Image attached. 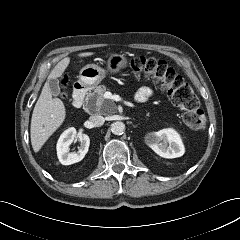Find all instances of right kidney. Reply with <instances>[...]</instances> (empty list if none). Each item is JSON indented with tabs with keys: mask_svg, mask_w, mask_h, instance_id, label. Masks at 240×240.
<instances>
[{
	"mask_svg": "<svg viewBox=\"0 0 240 240\" xmlns=\"http://www.w3.org/2000/svg\"><path fill=\"white\" fill-rule=\"evenodd\" d=\"M75 138L80 141L77 152L70 153V145ZM90 145L89 136L77 133L76 129L71 127L64 131L57 142V156L61 164L71 165L81 161L88 152Z\"/></svg>",
	"mask_w": 240,
	"mask_h": 240,
	"instance_id": "1",
	"label": "right kidney"
}]
</instances>
